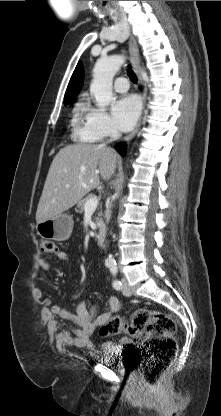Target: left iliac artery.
Returning a JSON list of instances; mask_svg holds the SVG:
<instances>
[{
  "label": "left iliac artery",
  "instance_id": "obj_1",
  "mask_svg": "<svg viewBox=\"0 0 221 416\" xmlns=\"http://www.w3.org/2000/svg\"><path fill=\"white\" fill-rule=\"evenodd\" d=\"M110 271H111V273H112V275H113V276H116V275H117V273H118V268H117V266H116L115 264L111 265V266H110ZM113 287H114L116 290H120V289L122 288V283H121V281H119L118 279H115V280L113 281Z\"/></svg>",
  "mask_w": 221,
  "mask_h": 416
}]
</instances>
